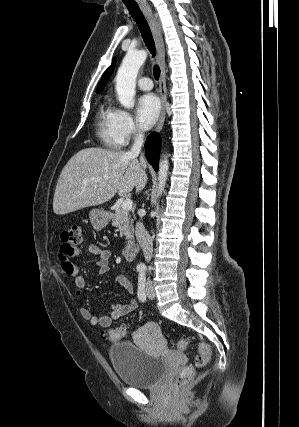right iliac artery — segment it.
<instances>
[{"label": "right iliac artery", "mask_w": 299, "mask_h": 427, "mask_svg": "<svg viewBox=\"0 0 299 427\" xmlns=\"http://www.w3.org/2000/svg\"><path fill=\"white\" fill-rule=\"evenodd\" d=\"M137 270H138L139 272H141V271H143L144 269H143L142 267H138V268H137Z\"/></svg>", "instance_id": "obj_1"}]
</instances>
